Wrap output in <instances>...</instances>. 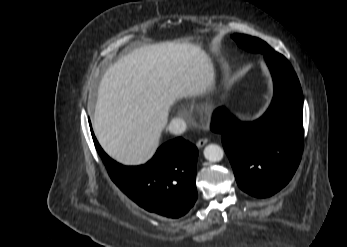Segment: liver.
Wrapping results in <instances>:
<instances>
[{"instance_id": "1", "label": "liver", "mask_w": 347, "mask_h": 247, "mask_svg": "<svg viewBox=\"0 0 347 247\" xmlns=\"http://www.w3.org/2000/svg\"><path fill=\"white\" fill-rule=\"evenodd\" d=\"M211 59L189 42L144 45L121 56L101 78L93 131L101 147L127 166L155 154L171 106L214 90Z\"/></svg>"}]
</instances>
